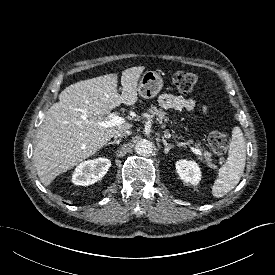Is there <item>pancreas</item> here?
I'll return each instance as SVG.
<instances>
[{
  "instance_id": "1",
  "label": "pancreas",
  "mask_w": 275,
  "mask_h": 275,
  "mask_svg": "<svg viewBox=\"0 0 275 275\" xmlns=\"http://www.w3.org/2000/svg\"><path fill=\"white\" fill-rule=\"evenodd\" d=\"M148 112L152 115V116H156V120L160 123L166 122L168 121V117L166 116V112H164L162 109H157V107L155 106H151L150 108H148ZM197 148H201V144L198 143L196 144ZM202 150V149H201ZM211 154L208 152H205L204 154V159L205 161L210 164V159Z\"/></svg>"
}]
</instances>
